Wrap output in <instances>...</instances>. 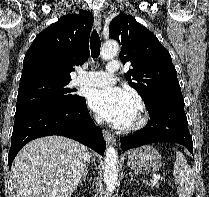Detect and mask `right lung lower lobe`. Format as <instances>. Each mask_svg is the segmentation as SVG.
Masks as SVG:
<instances>
[{"mask_svg":"<svg viewBox=\"0 0 209 197\" xmlns=\"http://www.w3.org/2000/svg\"><path fill=\"white\" fill-rule=\"evenodd\" d=\"M49 135L72 138L100 155H103L106 149L102 131L94 125L85 98L81 97L70 102L31 105L16 110L8 157L9 168L26 143Z\"/></svg>","mask_w":209,"mask_h":197,"instance_id":"98d812e1","label":"right lung lower lobe"}]
</instances>
